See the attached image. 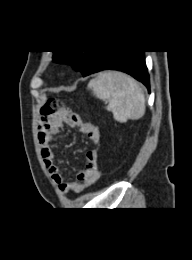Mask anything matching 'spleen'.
I'll use <instances>...</instances> for the list:
<instances>
[{
  "label": "spleen",
  "mask_w": 192,
  "mask_h": 260,
  "mask_svg": "<svg viewBox=\"0 0 192 260\" xmlns=\"http://www.w3.org/2000/svg\"><path fill=\"white\" fill-rule=\"evenodd\" d=\"M88 89L96 98L108 101L106 109L111 111L113 118L120 123L138 120L145 114L143 89L135 79L124 73H99L90 81Z\"/></svg>",
  "instance_id": "obj_1"
}]
</instances>
